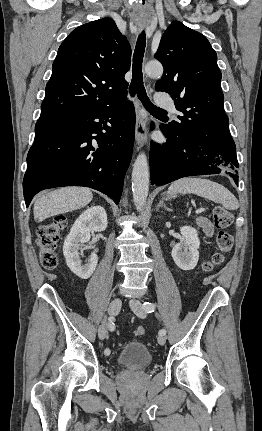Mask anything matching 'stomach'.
Instances as JSON below:
<instances>
[{"label":"stomach","mask_w":262,"mask_h":431,"mask_svg":"<svg viewBox=\"0 0 262 431\" xmlns=\"http://www.w3.org/2000/svg\"><path fill=\"white\" fill-rule=\"evenodd\" d=\"M172 196L171 195H169L168 193H167V195H166V198L167 199H169V198H171Z\"/></svg>","instance_id":"stomach-1"}]
</instances>
